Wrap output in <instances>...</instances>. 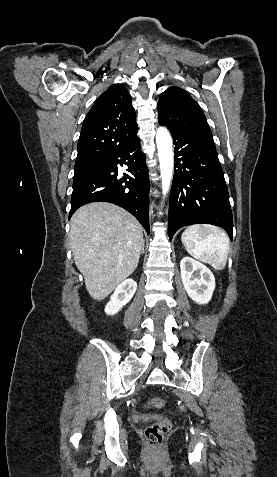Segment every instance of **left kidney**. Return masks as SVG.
Masks as SVG:
<instances>
[{
  "label": "left kidney",
  "instance_id": "1",
  "mask_svg": "<svg viewBox=\"0 0 277 477\" xmlns=\"http://www.w3.org/2000/svg\"><path fill=\"white\" fill-rule=\"evenodd\" d=\"M180 270L188 296L200 305L207 304L215 289V278L210 269L191 257H184Z\"/></svg>",
  "mask_w": 277,
  "mask_h": 477
}]
</instances>
